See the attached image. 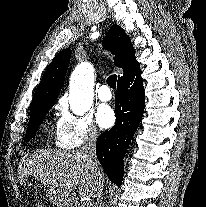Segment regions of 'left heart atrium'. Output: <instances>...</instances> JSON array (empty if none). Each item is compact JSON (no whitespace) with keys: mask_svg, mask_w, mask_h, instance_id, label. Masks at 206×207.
Listing matches in <instances>:
<instances>
[{"mask_svg":"<svg viewBox=\"0 0 206 207\" xmlns=\"http://www.w3.org/2000/svg\"><path fill=\"white\" fill-rule=\"evenodd\" d=\"M96 119L101 128H109L115 120L114 112L109 106H101L97 111Z\"/></svg>","mask_w":206,"mask_h":207,"instance_id":"1","label":"left heart atrium"}]
</instances>
